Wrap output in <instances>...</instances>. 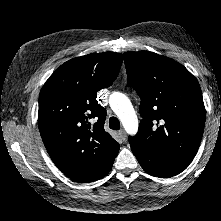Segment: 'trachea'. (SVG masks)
<instances>
[{
  "label": "trachea",
  "instance_id": "obj_1",
  "mask_svg": "<svg viewBox=\"0 0 221 221\" xmlns=\"http://www.w3.org/2000/svg\"><path fill=\"white\" fill-rule=\"evenodd\" d=\"M109 127L113 130H119L120 129V122H119L118 118L111 117L109 119Z\"/></svg>",
  "mask_w": 221,
  "mask_h": 221
}]
</instances>
